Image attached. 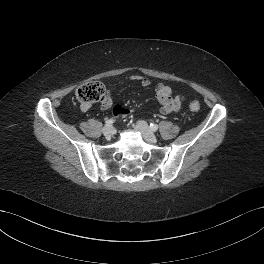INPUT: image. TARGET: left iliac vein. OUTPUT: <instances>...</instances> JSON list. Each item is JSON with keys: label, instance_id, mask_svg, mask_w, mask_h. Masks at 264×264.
<instances>
[{"label": "left iliac vein", "instance_id": "4c4485c4", "mask_svg": "<svg viewBox=\"0 0 264 264\" xmlns=\"http://www.w3.org/2000/svg\"><path fill=\"white\" fill-rule=\"evenodd\" d=\"M136 130L140 132L143 138L149 143H156L157 138L145 121H138L135 126Z\"/></svg>", "mask_w": 264, "mask_h": 264}]
</instances>
